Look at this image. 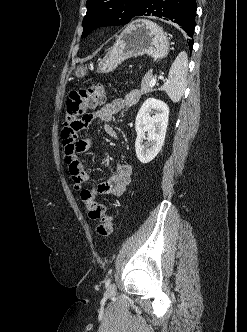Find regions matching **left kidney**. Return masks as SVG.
Listing matches in <instances>:
<instances>
[{
	"label": "left kidney",
	"instance_id": "1",
	"mask_svg": "<svg viewBox=\"0 0 247 332\" xmlns=\"http://www.w3.org/2000/svg\"><path fill=\"white\" fill-rule=\"evenodd\" d=\"M168 117L169 107L163 101L149 98L141 106L135 122V150L141 163H149L160 152L165 140ZM146 132L148 142L144 143Z\"/></svg>",
	"mask_w": 247,
	"mask_h": 332
}]
</instances>
